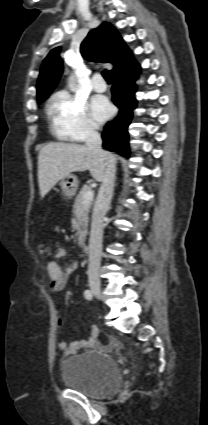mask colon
<instances>
[{"label": "colon", "instance_id": "colon-1", "mask_svg": "<svg viewBox=\"0 0 208 425\" xmlns=\"http://www.w3.org/2000/svg\"><path fill=\"white\" fill-rule=\"evenodd\" d=\"M39 252L43 256H50V255L53 254V249L46 244H40L39 245Z\"/></svg>", "mask_w": 208, "mask_h": 425}]
</instances>
